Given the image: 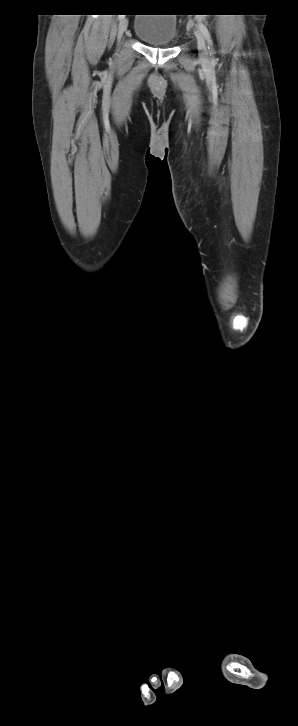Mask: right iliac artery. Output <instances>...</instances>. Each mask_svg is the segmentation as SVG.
Instances as JSON below:
<instances>
[{
	"label": "right iliac artery",
	"instance_id": "82829eb1",
	"mask_svg": "<svg viewBox=\"0 0 298 726\" xmlns=\"http://www.w3.org/2000/svg\"><path fill=\"white\" fill-rule=\"evenodd\" d=\"M122 18H123L122 16H119V19H122Z\"/></svg>",
	"mask_w": 298,
	"mask_h": 726
}]
</instances>
